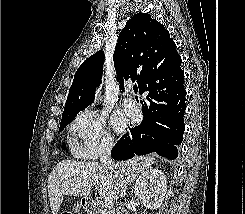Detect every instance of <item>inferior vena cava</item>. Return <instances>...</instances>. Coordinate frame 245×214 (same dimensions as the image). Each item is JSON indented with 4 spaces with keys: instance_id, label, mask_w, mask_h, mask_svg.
<instances>
[{
    "instance_id": "1",
    "label": "inferior vena cava",
    "mask_w": 245,
    "mask_h": 214,
    "mask_svg": "<svg viewBox=\"0 0 245 214\" xmlns=\"http://www.w3.org/2000/svg\"><path fill=\"white\" fill-rule=\"evenodd\" d=\"M112 147L113 143L109 140H104L101 143L100 162L109 169H116L118 165L111 158ZM126 189L127 187L124 186V188L120 190V197H124L126 194Z\"/></svg>"
}]
</instances>
